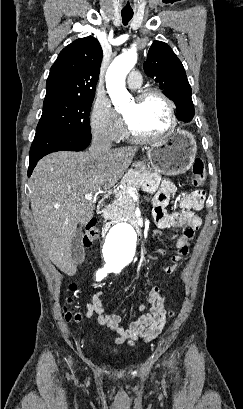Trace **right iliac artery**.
Returning <instances> with one entry per match:
<instances>
[{
	"label": "right iliac artery",
	"mask_w": 243,
	"mask_h": 409,
	"mask_svg": "<svg viewBox=\"0 0 243 409\" xmlns=\"http://www.w3.org/2000/svg\"><path fill=\"white\" fill-rule=\"evenodd\" d=\"M110 272V269L102 268L96 272V280L101 281L107 274Z\"/></svg>",
	"instance_id": "right-iliac-artery-1"
}]
</instances>
